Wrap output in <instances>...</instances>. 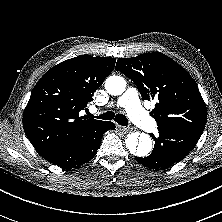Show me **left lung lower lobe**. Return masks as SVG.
<instances>
[{
    "mask_svg": "<svg viewBox=\"0 0 222 222\" xmlns=\"http://www.w3.org/2000/svg\"><path fill=\"white\" fill-rule=\"evenodd\" d=\"M159 136L155 140L152 153L145 158L135 157L148 168L164 169L180 162L195 147L201 132L175 126H158Z\"/></svg>",
    "mask_w": 222,
    "mask_h": 222,
    "instance_id": "obj_1",
    "label": "left lung lower lobe"
}]
</instances>
